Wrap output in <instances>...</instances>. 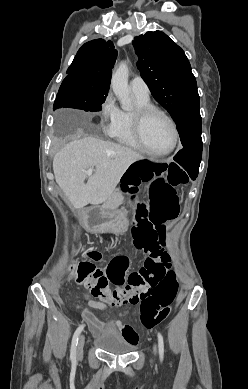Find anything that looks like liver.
Segmentation results:
<instances>
[{
  "instance_id": "obj_1",
  "label": "liver",
  "mask_w": 248,
  "mask_h": 389,
  "mask_svg": "<svg viewBox=\"0 0 248 389\" xmlns=\"http://www.w3.org/2000/svg\"><path fill=\"white\" fill-rule=\"evenodd\" d=\"M143 159L128 147L86 137L69 142L56 153L53 171L70 204L81 209L110 198L128 167ZM90 168H95L94 174L85 183Z\"/></svg>"
}]
</instances>
